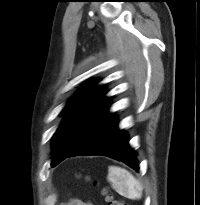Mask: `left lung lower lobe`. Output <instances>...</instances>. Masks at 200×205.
Masks as SVG:
<instances>
[{
	"instance_id": "left-lung-lower-lobe-1",
	"label": "left lung lower lobe",
	"mask_w": 200,
	"mask_h": 205,
	"mask_svg": "<svg viewBox=\"0 0 200 205\" xmlns=\"http://www.w3.org/2000/svg\"><path fill=\"white\" fill-rule=\"evenodd\" d=\"M75 155H104L139 170L136 153L128 145V136L118 130L113 116L106 112L67 157ZM55 167V166H54Z\"/></svg>"
}]
</instances>
